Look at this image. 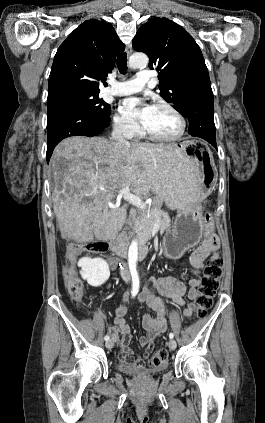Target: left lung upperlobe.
I'll list each match as a JSON object with an SVG mask.
<instances>
[{"mask_svg": "<svg viewBox=\"0 0 265 423\" xmlns=\"http://www.w3.org/2000/svg\"><path fill=\"white\" fill-rule=\"evenodd\" d=\"M133 48L146 53L150 69L158 71L161 96L182 113L185 96L196 86L210 83L202 52L183 27L167 18H150L134 39Z\"/></svg>", "mask_w": 265, "mask_h": 423, "instance_id": "5c2ea615", "label": "left lung upper lobe"}]
</instances>
